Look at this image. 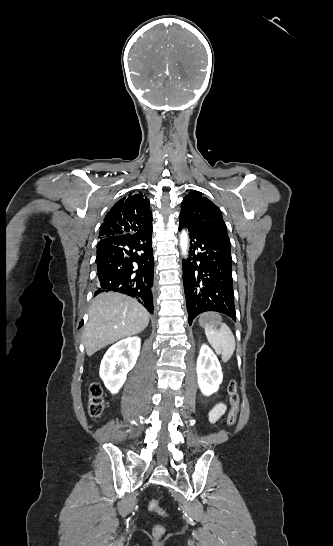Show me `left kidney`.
<instances>
[{"instance_id": "left-kidney-1", "label": "left kidney", "mask_w": 333, "mask_h": 546, "mask_svg": "<svg viewBox=\"0 0 333 546\" xmlns=\"http://www.w3.org/2000/svg\"><path fill=\"white\" fill-rule=\"evenodd\" d=\"M198 385L204 395L216 392L223 380L221 365L214 352L205 344L201 346L196 365Z\"/></svg>"}]
</instances>
